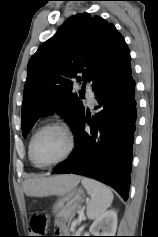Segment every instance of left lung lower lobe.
<instances>
[{"mask_svg":"<svg viewBox=\"0 0 158 237\" xmlns=\"http://www.w3.org/2000/svg\"><path fill=\"white\" fill-rule=\"evenodd\" d=\"M92 120L83 114L75 130V148L52 173H74L101 181L127 200L137 118L135 81L130 62L94 91ZM90 134L85 132V124Z\"/></svg>","mask_w":158,"mask_h":237,"instance_id":"0a47b994","label":"left lung lower lobe"}]
</instances>
